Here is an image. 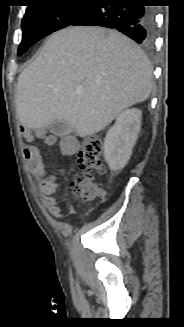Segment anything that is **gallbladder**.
Segmentation results:
<instances>
[{"label": "gallbladder", "mask_w": 184, "mask_h": 327, "mask_svg": "<svg viewBox=\"0 0 184 327\" xmlns=\"http://www.w3.org/2000/svg\"><path fill=\"white\" fill-rule=\"evenodd\" d=\"M71 131V125L65 120L55 121L50 125V132L56 136H65Z\"/></svg>", "instance_id": "obj_1"}]
</instances>
